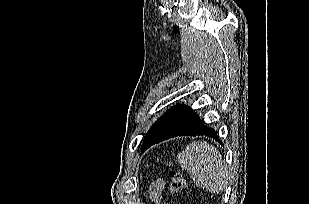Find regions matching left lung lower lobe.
I'll return each instance as SVG.
<instances>
[{"label": "left lung lower lobe", "instance_id": "left-lung-lower-lobe-1", "mask_svg": "<svg viewBox=\"0 0 309 204\" xmlns=\"http://www.w3.org/2000/svg\"><path fill=\"white\" fill-rule=\"evenodd\" d=\"M192 111L190 107L184 105H176L169 109L146 134L141 147L142 152L156 143L183 135H206L222 143L217 132L204 126L203 120Z\"/></svg>", "mask_w": 309, "mask_h": 204}]
</instances>
